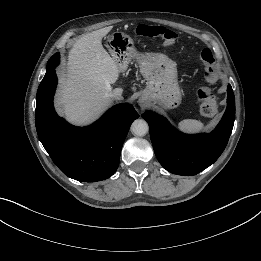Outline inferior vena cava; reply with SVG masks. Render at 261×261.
<instances>
[{
    "instance_id": "obj_1",
    "label": "inferior vena cava",
    "mask_w": 261,
    "mask_h": 261,
    "mask_svg": "<svg viewBox=\"0 0 261 261\" xmlns=\"http://www.w3.org/2000/svg\"><path fill=\"white\" fill-rule=\"evenodd\" d=\"M109 97H110V98H113V99H116V100L122 99L121 93H119V92H117V91L110 92V93H109Z\"/></svg>"
}]
</instances>
